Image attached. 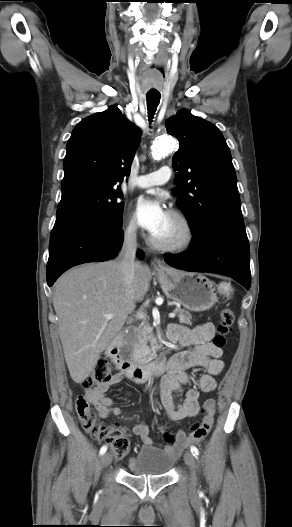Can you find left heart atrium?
<instances>
[{
	"instance_id": "obj_1",
	"label": "left heart atrium",
	"mask_w": 292,
	"mask_h": 527,
	"mask_svg": "<svg viewBox=\"0 0 292 527\" xmlns=\"http://www.w3.org/2000/svg\"><path fill=\"white\" fill-rule=\"evenodd\" d=\"M138 224L151 235L157 233L168 218V213L157 200L140 198L135 206Z\"/></svg>"
}]
</instances>
